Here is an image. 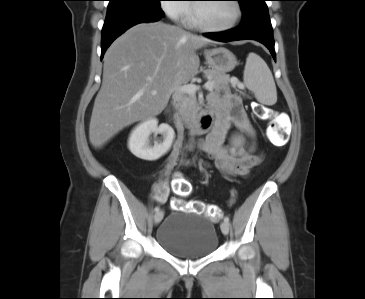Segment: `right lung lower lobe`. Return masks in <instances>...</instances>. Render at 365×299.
<instances>
[{"label":"right lung lower lobe","instance_id":"98d812e1","mask_svg":"<svg viewBox=\"0 0 365 299\" xmlns=\"http://www.w3.org/2000/svg\"><path fill=\"white\" fill-rule=\"evenodd\" d=\"M164 17L161 8L127 7L108 12L102 29L101 59L111 43L130 27L143 23L154 22Z\"/></svg>","mask_w":365,"mask_h":299}]
</instances>
